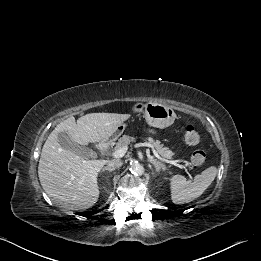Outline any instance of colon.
<instances>
[{
    "label": "colon",
    "instance_id": "colon-1",
    "mask_svg": "<svg viewBox=\"0 0 261 261\" xmlns=\"http://www.w3.org/2000/svg\"><path fill=\"white\" fill-rule=\"evenodd\" d=\"M201 136L193 125H187L184 132V141L190 146H196L200 143ZM206 160V153L202 150H196L192 153L191 161L194 165H202Z\"/></svg>",
    "mask_w": 261,
    "mask_h": 261
}]
</instances>
